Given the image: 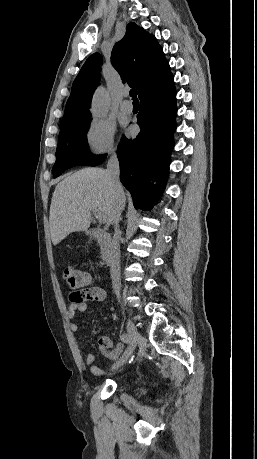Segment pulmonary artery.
Segmentation results:
<instances>
[{"mask_svg":"<svg viewBox=\"0 0 257 459\" xmlns=\"http://www.w3.org/2000/svg\"><path fill=\"white\" fill-rule=\"evenodd\" d=\"M120 109L123 113L130 114L133 111V105L129 100H124L120 105Z\"/></svg>","mask_w":257,"mask_h":459,"instance_id":"1","label":"pulmonary artery"}]
</instances>
